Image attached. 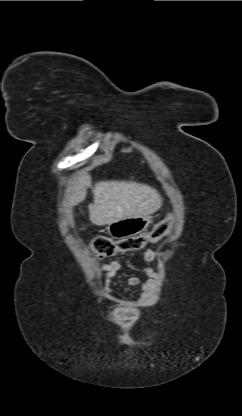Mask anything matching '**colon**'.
Segmentation results:
<instances>
[{
    "label": "colon",
    "instance_id": "1",
    "mask_svg": "<svg viewBox=\"0 0 242 416\" xmlns=\"http://www.w3.org/2000/svg\"><path fill=\"white\" fill-rule=\"evenodd\" d=\"M172 226L173 219L168 217L155 225L150 231L125 239L115 241L105 236L96 237L92 242V247L101 258H108L117 254L139 250L150 243L161 240Z\"/></svg>",
    "mask_w": 242,
    "mask_h": 416
}]
</instances>
